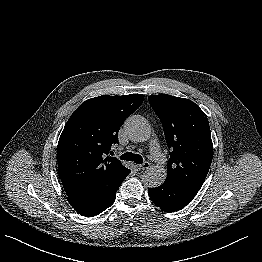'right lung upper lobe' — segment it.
Segmentation results:
<instances>
[{
  "label": "right lung upper lobe",
  "instance_id": "obj_1",
  "mask_svg": "<svg viewBox=\"0 0 262 262\" xmlns=\"http://www.w3.org/2000/svg\"><path fill=\"white\" fill-rule=\"evenodd\" d=\"M144 96L102 95L83 102L70 116L59 138L57 160L67 195L108 192L130 173L115 157L112 144L125 119L143 103Z\"/></svg>",
  "mask_w": 262,
  "mask_h": 262
}]
</instances>
